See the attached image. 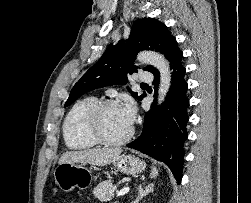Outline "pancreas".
Segmentation results:
<instances>
[{"label": "pancreas", "instance_id": "obj_1", "mask_svg": "<svg viewBox=\"0 0 251 203\" xmlns=\"http://www.w3.org/2000/svg\"><path fill=\"white\" fill-rule=\"evenodd\" d=\"M115 186L112 180H105L100 182L93 190L95 198L100 201H108L114 196Z\"/></svg>", "mask_w": 251, "mask_h": 203}]
</instances>
